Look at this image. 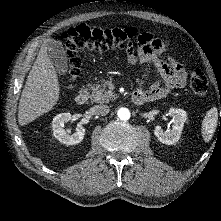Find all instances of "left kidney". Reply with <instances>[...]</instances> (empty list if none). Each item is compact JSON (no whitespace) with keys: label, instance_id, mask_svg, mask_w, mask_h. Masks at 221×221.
<instances>
[{"label":"left kidney","instance_id":"1","mask_svg":"<svg viewBox=\"0 0 221 221\" xmlns=\"http://www.w3.org/2000/svg\"><path fill=\"white\" fill-rule=\"evenodd\" d=\"M168 115L173 117L172 129L163 131L161 126L157 125L154 134L163 144L173 145L180 139L184 123L187 120V113L183 109L170 108Z\"/></svg>","mask_w":221,"mask_h":221}]
</instances>
